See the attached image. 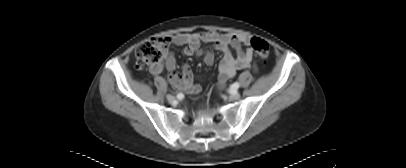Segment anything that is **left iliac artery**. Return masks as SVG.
<instances>
[{"instance_id":"44dca946","label":"left iliac artery","mask_w":406,"mask_h":168,"mask_svg":"<svg viewBox=\"0 0 406 168\" xmlns=\"http://www.w3.org/2000/svg\"><path fill=\"white\" fill-rule=\"evenodd\" d=\"M239 86H240L239 83L235 82L234 84L231 85V91L232 92L235 91L236 89L239 88Z\"/></svg>"}]
</instances>
